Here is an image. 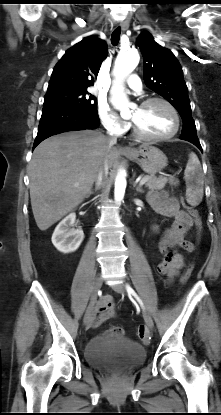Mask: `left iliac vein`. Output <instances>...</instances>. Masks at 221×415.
Wrapping results in <instances>:
<instances>
[{
	"label": "left iliac vein",
	"mask_w": 221,
	"mask_h": 415,
	"mask_svg": "<svg viewBox=\"0 0 221 415\" xmlns=\"http://www.w3.org/2000/svg\"><path fill=\"white\" fill-rule=\"evenodd\" d=\"M113 289H114V291H116L120 294H126V287L123 283H119V284L114 285ZM143 317H144V321H145L146 326L149 329H153L154 323H153V320H152L151 316L147 312L144 311Z\"/></svg>",
	"instance_id": "left-iliac-vein-1"
}]
</instances>
